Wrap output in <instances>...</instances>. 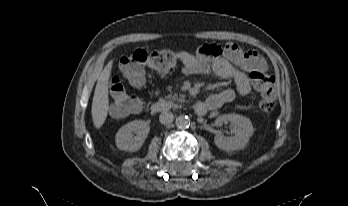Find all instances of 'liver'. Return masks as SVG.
I'll return each instance as SVG.
<instances>
[{
  "mask_svg": "<svg viewBox=\"0 0 348 206\" xmlns=\"http://www.w3.org/2000/svg\"><path fill=\"white\" fill-rule=\"evenodd\" d=\"M112 64L113 60L107 64L100 74L94 92L91 114L94 126L97 129L104 124L109 110L108 89Z\"/></svg>",
  "mask_w": 348,
  "mask_h": 206,
  "instance_id": "liver-1",
  "label": "liver"
}]
</instances>
